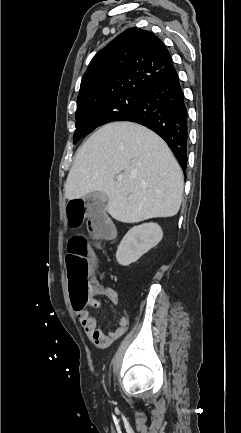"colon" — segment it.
Returning <instances> with one entry per match:
<instances>
[{"instance_id":"colon-1","label":"colon","mask_w":241,"mask_h":433,"mask_svg":"<svg viewBox=\"0 0 241 433\" xmlns=\"http://www.w3.org/2000/svg\"><path fill=\"white\" fill-rule=\"evenodd\" d=\"M67 201L68 220L67 229H80L85 216L88 217V226L97 239H103L110 234V220L106 214L108 205L102 200H85L77 198L76 202ZM93 258L89 243L81 236L74 237L67 252L65 266L69 272V292L72 299L73 312H86L89 300L94 297V290L100 287L92 278L91 270Z\"/></svg>"}]
</instances>
